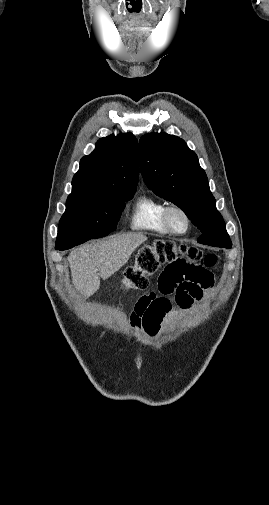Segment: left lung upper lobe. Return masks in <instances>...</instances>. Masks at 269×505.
<instances>
[{
  "mask_svg": "<svg viewBox=\"0 0 269 505\" xmlns=\"http://www.w3.org/2000/svg\"><path fill=\"white\" fill-rule=\"evenodd\" d=\"M140 169L156 195L180 207L201 230L198 242L229 249L232 242L217 211L204 170L186 143L166 133H150L139 141Z\"/></svg>",
  "mask_w": 269,
  "mask_h": 505,
  "instance_id": "5c2ea615",
  "label": "left lung upper lobe"
}]
</instances>
